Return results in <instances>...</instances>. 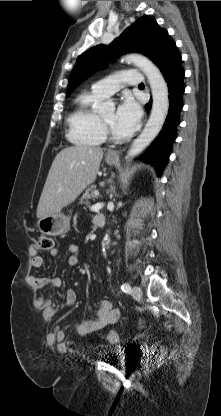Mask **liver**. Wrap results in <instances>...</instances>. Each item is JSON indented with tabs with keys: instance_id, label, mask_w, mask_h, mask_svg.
<instances>
[{
	"instance_id": "1",
	"label": "liver",
	"mask_w": 221,
	"mask_h": 416,
	"mask_svg": "<svg viewBox=\"0 0 221 416\" xmlns=\"http://www.w3.org/2000/svg\"><path fill=\"white\" fill-rule=\"evenodd\" d=\"M103 150L100 147L76 145L64 148L49 170L39 203L37 217L59 213L92 184L97 176Z\"/></svg>"
}]
</instances>
